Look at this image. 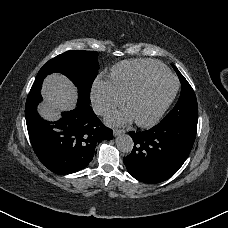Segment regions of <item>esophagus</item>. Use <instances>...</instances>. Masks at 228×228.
I'll list each match as a JSON object with an SVG mask.
<instances>
[{"label":"esophagus","mask_w":228,"mask_h":228,"mask_svg":"<svg viewBox=\"0 0 228 228\" xmlns=\"http://www.w3.org/2000/svg\"><path fill=\"white\" fill-rule=\"evenodd\" d=\"M123 133H125V131L123 129H114L113 130V134L115 136H118V135L123 134Z\"/></svg>","instance_id":"esophagus-1"}]
</instances>
